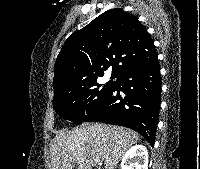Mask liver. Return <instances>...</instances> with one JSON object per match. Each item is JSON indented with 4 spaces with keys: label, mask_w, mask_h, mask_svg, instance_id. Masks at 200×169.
Wrapping results in <instances>:
<instances>
[{
    "label": "liver",
    "mask_w": 200,
    "mask_h": 169,
    "mask_svg": "<svg viewBox=\"0 0 200 169\" xmlns=\"http://www.w3.org/2000/svg\"><path fill=\"white\" fill-rule=\"evenodd\" d=\"M140 140L139 134L120 126L87 123L56 134L51 145V169H92V162H104L115 169L128 148Z\"/></svg>",
    "instance_id": "liver-1"
}]
</instances>
